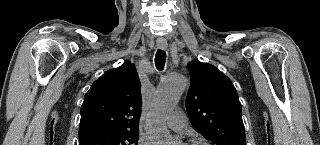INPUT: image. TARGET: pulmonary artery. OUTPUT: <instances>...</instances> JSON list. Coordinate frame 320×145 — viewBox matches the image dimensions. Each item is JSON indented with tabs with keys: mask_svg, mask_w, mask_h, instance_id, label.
I'll return each mask as SVG.
<instances>
[{
	"mask_svg": "<svg viewBox=\"0 0 320 145\" xmlns=\"http://www.w3.org/2000/svg\"><path fill=\"white\" fill-rule=\"evenodd\" d=\"M167 124L174 131H182L187 125V118L181 109H176L168 116Z\"/></svg>",
	"mask_w": 320,
	"mask_h": 145,
	"instance_id": "pulmonary-artery-1",
	"label": "pulmonary artery"
}]
</instances>
